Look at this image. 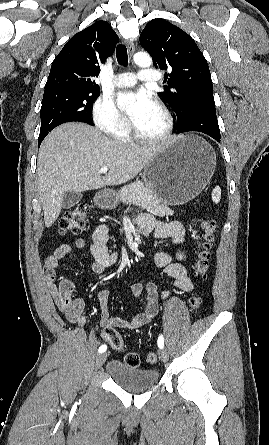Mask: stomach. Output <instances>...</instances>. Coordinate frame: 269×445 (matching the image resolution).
<instances>
[{"mask_svg":"<svg viewBox=\"0 0 269 445\" xmlns=\"http://www.w3.org/2000/svg\"><path fill=\"white\" fill-rule=\"evenodd\" d=\"M216 166L213 148L196 135H180L167 143L145 166V187L170 206L183 205L195 198L208 184ZM119 194L103 190L94 197L101 209H114Z\"/></svg>","mask_w":269,"mask_h":445,"instance_id":"obj_1","label":"stomach"}]
</instances>
